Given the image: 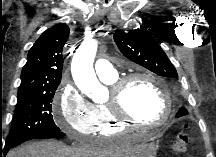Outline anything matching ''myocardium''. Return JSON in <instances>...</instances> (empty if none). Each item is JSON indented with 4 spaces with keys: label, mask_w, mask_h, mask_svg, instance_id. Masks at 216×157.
I'll return each instance as SVG.
<instances>
[{
    "label": "myocardium",
    "mask_w": 216,
    "mask_h": 157,
    "mask_svg": "<svg viewBox=\"0 0 216 157\" xmlns=\"http://www.w3.org/2000/svg\"><path fill=\"white\" fill-rule=\"evenodd\" d=\"M137 79H145L153 83L163 95L164 114L157 122H146L136 119L126 109L125 97L127 87L132 81ZM106 104L117 121L139 128L162 127L170 120L172 114V101L168 89L161 80L146 72H136L117 79L111 85L109 99Z\"/></svg>",
    "instance_id": "f54148a6"
}]
</instances>
